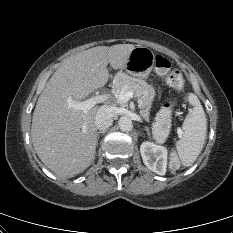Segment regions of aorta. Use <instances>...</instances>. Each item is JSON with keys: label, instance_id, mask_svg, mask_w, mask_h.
<instances>
[{"label": "aorta", "instance_id": "762f6f07", "mask_svg": "<svg viewBox=\"0 0 233 233\" xmlns=\"http://www.w3.org/2000/svg\"><path fill=\"white\" fill-rule=\"evenodd\" d=\"M118 126L122 131H130L132 128V120L128 116L120 117L118 121Z\"/></svg>", "mask_w": 233, "mask_h": 233}]
</instances>
